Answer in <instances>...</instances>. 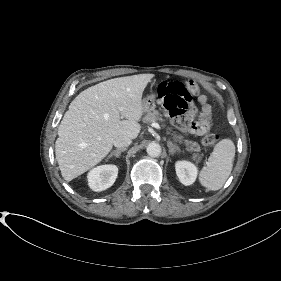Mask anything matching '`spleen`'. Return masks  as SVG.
Wrapping results in <instances>:
<instances>
[{
  "label": "spleen",
  "instance_id": "3e777b00",
  "mask_svg": "<svg viewBox=\"0 0 281 281\" xmlns=\"http://www.w3.org/2000/svg\"><path fill=\"white\" fill-rule=\"evenodd\" d=\"M235 157V145L231 139H222L214 147L207 165L199 174V181L208 190L222 188L231 174Z\"/></svg>",
  "mask_w": 281,
  "mask_h": 281
}]
</instances>
